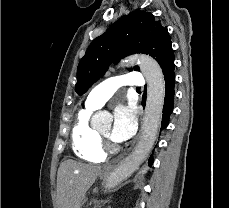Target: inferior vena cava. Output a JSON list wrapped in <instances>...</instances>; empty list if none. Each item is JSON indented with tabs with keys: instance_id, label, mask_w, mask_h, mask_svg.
<instances>
[{
	"instance_id": "inferior-vena-cava-1",
	"label": "inferior vena cava",
	"mask_w": 229,
	"mask_h": 208,
	"mask_svg": "<svg viewBox=\"0 0 229 208\" xmlns=\"http://www.w3.org/2000/svg\"><path fill=\"white\" fill-rule=\"evenodd\" d=\"M144 118H145V116H144ZM143 126H144V130H145V132H146V128H145V120H144V124H143ZM147 130H148V126H147Z\"/></svg>"
}]
</instances>
